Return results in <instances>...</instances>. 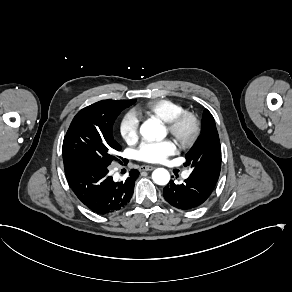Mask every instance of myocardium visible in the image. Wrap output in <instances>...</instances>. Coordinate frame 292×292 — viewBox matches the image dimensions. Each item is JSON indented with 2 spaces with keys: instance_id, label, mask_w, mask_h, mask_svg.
<instances>
[{
  "instance_id": "1",
  "label": "myocardium",
  "mask_w": 292,
  "mask_h": 292,
  "mask_svg": "<svg viewBox=\"0 0 292 292\" xmlns=\"http://www.w3.org/2000/svg\"><path fill=\"white\" fill-rule=\"evenodd\" d=\"M167 128L183 146H190L198 137L199 121L193 113L181 111L167 123Z\"/></svg>"
}]
</instances>
